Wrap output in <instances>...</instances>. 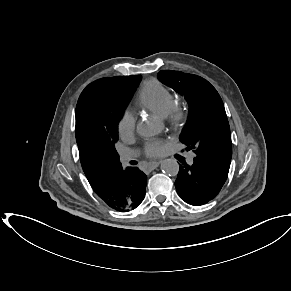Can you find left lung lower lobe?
Segmentation results:
<instances>
[{
	"label": "left lung lower lobe",
	"mask_w": 291,
	"mask_h": 291,
	"mask_svg": "<svg viewBox=\"0 0 291 291\" xmlns=\"http://www.w3.org/2000/svg\"><path fill=\"white\" fill-rule=\"evenodd\" d=\"M228 174L194 158L193 165H180L175 187L180 198L193 206L214 199L224 185Z\"/></svg>",
	"instance_id": "left-lung-lower-lobe-1"
}]
</instances>
